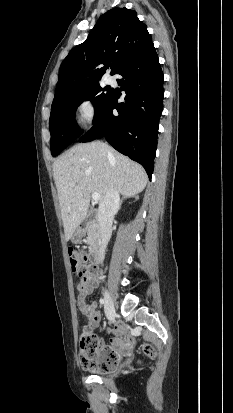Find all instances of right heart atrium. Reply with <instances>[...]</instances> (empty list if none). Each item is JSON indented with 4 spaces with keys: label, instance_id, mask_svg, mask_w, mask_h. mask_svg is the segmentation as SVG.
Masks as SVG:
<instances>
[{
    "label": "right heart atrium",
    "instance_id": "d8ad5b80",
    "mask_svg": "<svg viewBox=\"0 0 233 413\" xmlns=\"http://www.w3.org/2000/svg\"><path fill=\"white\" fill-rule=\"evenodd\" d=\"M97 115L98 108L94 99L85 97L76 104L75 118L83 128H89L94 125Z\"/></svg>",
    "mask_w": 233,
    "mask_h": 413
}]
</instances>
